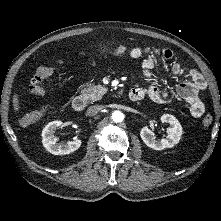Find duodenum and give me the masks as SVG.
I'll list each match as a JSON object with an SVG mask.
<instances>
[{"label": "duodenum", "mask_w": 221, "mask_h": 221, "mask_svg": "<svg viewBox=\"0 0 221 221\" xmlns=\"http://www.w3.org/2000/svg\"><path fill=\"white\" fill-rule=\"evenodd\" d=\"M129 98L132 101H137L138 98L136 96V94L133 91L129 92ZM86 106V101L82 96H76L72 99V108L76 111V112H81L83 111V109Z\"/></svg>", "instance_id": "1"}]
</instances>
